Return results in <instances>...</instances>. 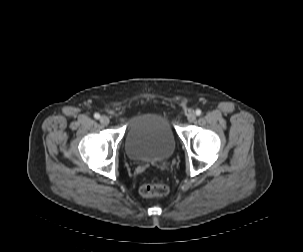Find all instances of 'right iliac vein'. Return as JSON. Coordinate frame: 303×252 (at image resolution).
<instances>
[{"label": "right iliac vein", "instance_id": "obj_1", "mask_svg": "<svg viewBox=\"0 0 303 252\" xmlns=\"http://www.w3.org/2000/svg\"><path fill=\"white\" fill-rule=\"evenodd\" d=\"M99 121L103 125H108L109 122H110V119H109V117L103 115V116L100 117Z\"/></svg>", "mask_w": 303, "mask_h": 252}]
</instances>
